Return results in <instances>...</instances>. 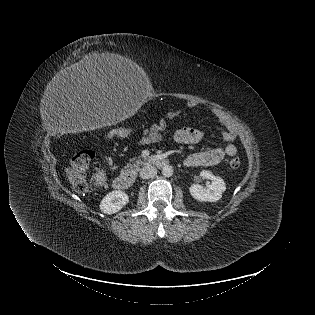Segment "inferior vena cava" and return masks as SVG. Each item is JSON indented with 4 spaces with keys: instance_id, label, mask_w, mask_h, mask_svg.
<instances>
[{
    "instance_id": "1",
    "label": "inferior vena cava",
    "mask_w": 315,
    "mask_h": 315,
    "mask_svg": "<svg viewBox=\"0 0 315 315\" xmlns=\"http://www.w3.org/2000/svg\"><path fill=\"white\" fill-rule=\"evenodd\" d=\"M157 174L156 167L146 164L140 171V176L143 179L153 178Z\"/></svg>"
}]
</instances>
